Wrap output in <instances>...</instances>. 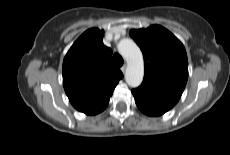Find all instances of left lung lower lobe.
<instances>
[{
    "label": "left lung lower lobe",
    "instance_id": "1",
    "mask_svg": "<svg viewBox=\"0 0 230 155\" xmlns=\"http://www.w3.org/2000/svg\"><path fill=\"white\" fill-rule=\"evenodd\" d=\"M137 107L148 116H160L169 111L172 107L155 99L132 92Z\"/></svg>",
    "mask_w": 230,
    "mask_h": 155
}]
</instances>
